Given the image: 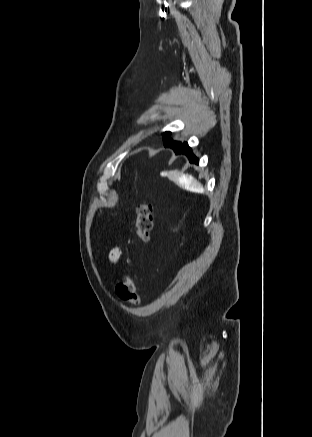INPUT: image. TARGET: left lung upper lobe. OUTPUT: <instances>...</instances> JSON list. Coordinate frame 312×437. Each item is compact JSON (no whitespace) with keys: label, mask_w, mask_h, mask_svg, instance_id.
Listing matches in <instances>:
<instances>
[{"label":"left lung upper lobe","mask_w":312,"mask_h":437,"mask_svg":"<svg viewBox=\"0 0 312 437\" xmlns=\"http://www.w3.org/2000/svg\"><path fill=\"white\" fill-rule=\"evenodd\" d=\"M170 132H165L163 134V141L164 143L172 142L173 140L170 138Z\"/></svg>","instance_id":"1"}]
</instances>
